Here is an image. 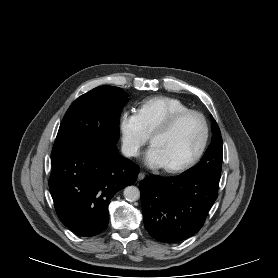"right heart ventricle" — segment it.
<instances>
[{
  "mask_svg": "<svg viewBox=\"0 0 278 278\" xmlns=\"http://www.w3.org/2000/svg\"><path fill=\"white\" fill-rule=\"evenodd\" d=\"M189 110L181 100L168 96H155L141 101L137 108L142 123L150 134L157 126L174 114Z\"/></svg>",
  "mask_w": 278,
  "mask_h": 278,
  "instance_id": "obj_1",
  "label": "right heart ventricle"
}]
</instances>
